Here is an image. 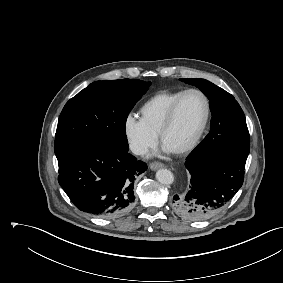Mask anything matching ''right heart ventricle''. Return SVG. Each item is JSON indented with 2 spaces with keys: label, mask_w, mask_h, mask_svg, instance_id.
Here are the masks:
<instances>
[{
  "label": "right heart ventricle",
  "mask_w": 283,
  "mask_h": 283,
  "mask_svg": "<svg viewBox=\"0 0 283 283\" xmlns=\"http://www.w3.org/2000/svg\"><path fill=\"white\" fill-rule=\"evenodd\" d=\"M184 91L162 90L144 102L140 108L141 120L151 132L158 135L170 107Z\"/></svg>",
  "instance_id": "e07e8e85"
}]
</instances>
